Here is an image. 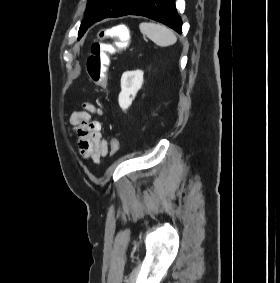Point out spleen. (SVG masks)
<instances>
[{
  "instance_id": "3e777b00",
  "label": "spleen",
  "mask_w": 280,
  "mask_h": 283,
  "mask_svg": "<svg viewBox=\"0 0 280 283\" xmlns=\"http://www.w3.org/2000/svg\"><path fill=\"white\" fill-rule=\"evenodd\" d=\"M139 29L143 35H146L150 40L160 47L171 46L177 41V37L174 32L160 24L141 23L139 25Z\"/></svg>"
}]
</instances>
